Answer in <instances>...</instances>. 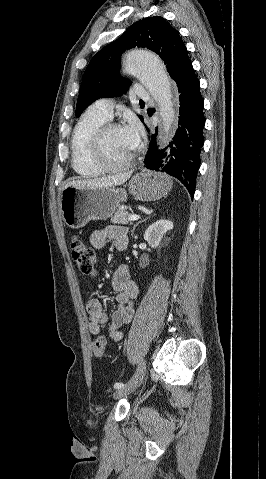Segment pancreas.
<instances>
[{"instance_id": "1", "label": "pancreas", "mask_w": 266, "mask_h": 479, "mask_svg": "<svg viewBox=\"0 0 266 479\" xmlns=\"http://www.w3.org/2000/svg\"><path fill=\"white\" fill-rule=\"evenodd\" d=\"M131 214L123 209H118L114 216L111 218V222L114 224H127L129 222L128 218Z\"/></svg>"}]
</instances>
